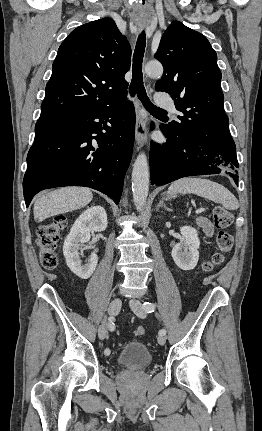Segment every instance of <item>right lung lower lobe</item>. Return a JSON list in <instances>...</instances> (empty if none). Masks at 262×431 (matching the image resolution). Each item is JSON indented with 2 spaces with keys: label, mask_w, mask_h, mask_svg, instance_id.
<instances>
[{
  "label": "right lung lower lobe",
  "mask_w": 262,
  "mask_h": 431,
  "mask_svg": "<svg viewBox=\"0 0 262 431\" xmlns=\"http://www.w3.org/2000/svg\"><path fill=\"white\" fill-rule=\"evenodd\" d=\"M134 130V106L125 99L97 112L41 114L27 155L26 206L39 191L61 186L90 187L118 204Z\"/></svg>",
  "instance_id": "1"
}]
</instances>
